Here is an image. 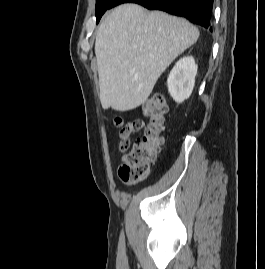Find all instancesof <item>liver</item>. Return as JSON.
<instances>
[{"mask_svg": "<svg viewBox=\"0 0 265 269\" xmlns=\"http://www.w3.org/2000/svg\"><path fill=\"white\" fill-rule=\"evenodd\" d=\"M199 38L187 20L123 4L102 21L95 42L103 109L145 103L166 68Z\"/></svg>", "mask_w": 265, "mask_h": 269, "instance_id": "6515ba94", "label": "liver"}]
</instances>
